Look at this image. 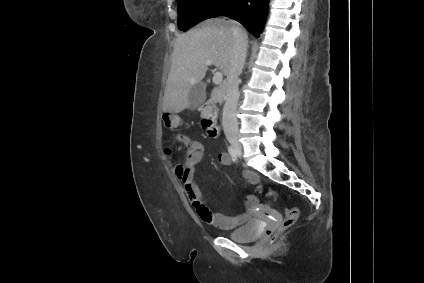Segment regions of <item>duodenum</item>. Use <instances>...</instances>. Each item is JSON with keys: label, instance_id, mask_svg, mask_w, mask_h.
<instances>
[{"label": "duodenum", "instance_id": "410a0bca", "mask_svg": "<svg viewBox=\"0 0 424 283\" xmlns=\"http://www.w3.org/2000/svg\"><path fill=\"white\" fill-rule=\"evenodd\" d=\"M203 127L210 137L216 138L219 135V122L216 108L212 107L207 116L203 119Z\"/></svg>", "mask_w": 424, "mask_h": 283}]
</instances>
